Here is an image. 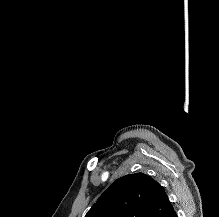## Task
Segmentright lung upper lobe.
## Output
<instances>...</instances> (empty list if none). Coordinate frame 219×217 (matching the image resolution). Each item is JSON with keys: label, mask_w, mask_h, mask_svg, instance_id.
Segmentation results:
<instances>
[{"label": "right lung upper lobe", "mask_w": 219, "mask_h": 217, "mask_svg": "<svg viewBox=\"0 0 219 217\" xmlns=\"http://www.w3.org/2000/svg\"><path fill=\"white\" fill-rule=\"evenodd\" d=\"M172 211L163 187L150 176L135 173L110 185L85 217H168Z\"/></svg>", "instance_id": "1"}]
</instances>
